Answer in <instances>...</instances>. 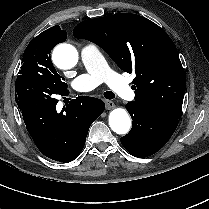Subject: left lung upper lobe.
<instances>
[{
	"mask_svg": "<svg viewBox=\"0 0 209 209\" xmlns=\"http://www.w3.org/2000/svg\"><path fill=\"white\" fill-rule=\"evenodd\" d=\"M73 34L94 42L120 69L136 74L133 103L179 119L185 74L176 47L162 28L142 16L118 13L82 21Z\"/></svg>",
	"mask_w": 209,
	"mask_h": 209,
	"instance_id": "1",
	"label": "left lung upper lobe"
}]
</instances>
